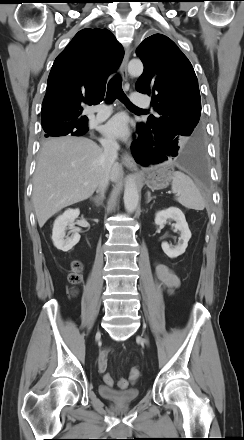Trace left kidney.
<instances>
[{"mask_svg": "<svg viewBox=\"0 0 244 440\" xmlns=\"http://www.w3.org/2000/svg\"><path fill=\"white\" fill-rule=\"evenodd\" d=\"M169 219L176 222L175 228L181 232L179 242L175 247H171L167 242H163L161 246L168 257L176 258L185 252L188 241L191 238V231L189 230L185 215L176 207L159 211L155 215V223L157 225L165 224Z\"/></svg>", "mask_w": 244, "mask_h": 440, "instance_id": "left-kidney-1", "label": "left kidney"}]
</instances>
